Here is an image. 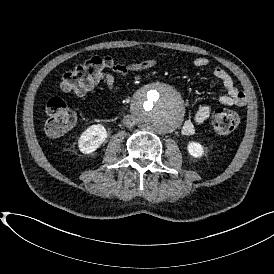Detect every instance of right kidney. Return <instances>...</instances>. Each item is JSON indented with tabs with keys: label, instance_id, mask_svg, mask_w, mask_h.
<instances>
[{
	"label": "right kidney",
	"instance_id": "right-kidney-1",
	"mask_svg": "<svg viewBox=\"0 0 274 274\" xmlns=\"http://www.w3.org/2000/svg\"><path fill=\"white\" fill-rule=\"evenodd\" d=\"M109 133L103 124L87 127L78 138V149L84 155L94 153L108 139Z\"/></svg>",
	"mask_w": 274,
	"mask_h": 274
}]
</instances>
